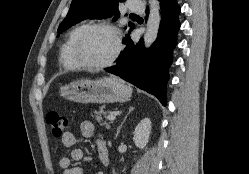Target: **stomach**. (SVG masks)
Returning <instances> with one entry per match:
<instances>
[{
  "mask_svg": "<svg viewBox=\"0 0 249 174\" xmlns=\"http://www.w3.org/2000/svg\"><path fill=\"white\" fill-rule=\"evenodd\" d=\"M131 94V87L113 77L82 79L60 88L62 97L78 103H121L127 101Z\"/></svg>",
  "mask_w": 249,
  "mask_h": 174,
  "instance_id": "obj_1",
  "label": "stomach"
}]
</instances>
